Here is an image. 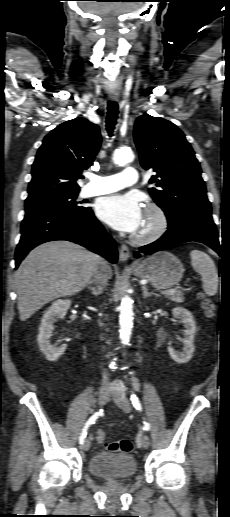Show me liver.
I'll return each instance as SVG.
<instances>
[{
	"label": "liver",
	"mask_w": 230,
	"mask_h": 517,
	"mask_svg": "<svg viewBox=\"0 0 230 517\" xmlns=\"http://www.w3.org/2000/svg\"><path fill=\"white\" fill-rule=\"evenodd\" d=\"M103 268H111L85 248L68 241H51L34 248L15 272L18 310L26 321L46 303L80 292Z\"/></svg>",
	"instance_id": "liver-1"
}]
</instances>
